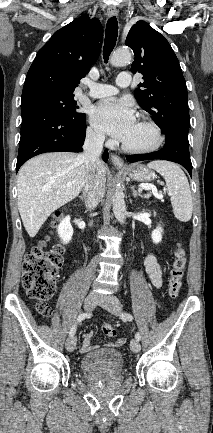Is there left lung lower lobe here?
I'll use <instances>...</instances> for the list:
<instances>
[{
  "label": "left lung lower lobe",
  "instance_id": "left-lung-lower-lobe-1",
  "mask_svg": "<svg viewBox=\"0 0 213 433\" xmlns=\"http://www.w3.org/2000/svg\"><path fill=\"white\" fill-rule=\"evenodd\" d=\"M128 162H137L151 159H162L181 164L192 176V163L190 160L188 138L174 133L166 135V142L162 149L156 152L131 155L126 157Z\"/></svg>",
  "mask_w": 213,
  "mask_h": 433
}]
</instances>
